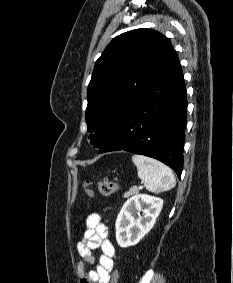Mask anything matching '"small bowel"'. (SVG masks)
I'll return each mask as SVG.
<instances>
[{"label": "small bowel", "mask_w": 233, "mask_h": 283, "mask_svg": "<svg viewBox=\"0 0 233 283\" xmlns=\"http://www.w3.org/2000/svg\"><path fill=\"white\" fill-rule=\"evenodd\" d=\"M80 255L77 273L80 283H109L114 270L115 248L108 239V228L102 223L98 213L90 214L86 219L83 239L76 246ZM100 249L99 265L94 270H87V265L95 263L93 250Z\"/></svg>", "instance_id": "c3829d8e"}]
</instances>
